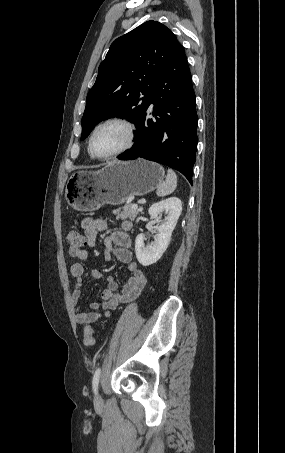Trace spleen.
I'll return each instance as SVG.
<instances>
[{
    "label": "spleen",
    "mask_w": 285,
    "mask_h": 453,
    "mask_svg": "<svg viewBox=\"0 0 285 453\" xmlns=\"http://www.w3.org/2000/svg\"><path fill=\"white\" fill-rule=\"evenodd\" d=\"M177 186V175L171 169H168L167 177L164 182H162L157 189V196L163 197L171 194Z\"/></svg>",
    "instance_id": "spleen-1"
}]
</instances>
